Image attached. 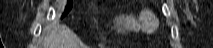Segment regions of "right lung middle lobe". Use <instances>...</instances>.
Segmentation results:
<instances>
[{"label": "right lung middle lobe", "instance_id": "right-lung-middle-lobe-1", "mask_svg": "<svg viewBox=\"0 0 213 48\" xmlns=\"http://www.w3.org/2000/svg\"><path fill=\"white\" fill-rule=\"evenodd\" d=\"M71 8H72V2H71V1H68V4H67V6H66V9H65V11H64V13H63V15H62V17H64V16L71 10Z\"/></svg>", "mask_w": 213, "mask_h": 48}]
</instances>
